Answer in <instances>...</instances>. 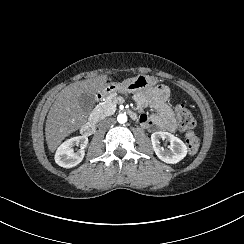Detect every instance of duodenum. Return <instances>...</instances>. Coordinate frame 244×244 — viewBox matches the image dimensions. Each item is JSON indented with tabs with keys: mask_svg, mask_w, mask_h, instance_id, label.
Segmentation results:
<instances>
[{
	"mask_svg": "<svg viewBox=\"0 0 244 244\" xmlns=\"http://www.w3.org/2000/svg\"><path fill=\"white\" fill-rule=\"evenodd\" d=\"M97 100L99 102H102L104 100L105 94L101 91H98L96 93ZM99 120V115L98 114H93L87 122H85L82 126V134L84 136H91L96 130L97 124Z\"/></svg>",
	"mask_w": 244,
	"mask_h": 244,
	"instance_id": "duodenum-1",
	"label": "duodenum"
}]
</instances>
